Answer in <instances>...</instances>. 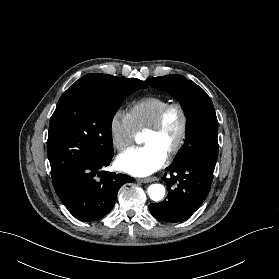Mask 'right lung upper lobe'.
I'll return each mask as SVG.
<instances>
[{
  "label": "right lung upper lobe",
  "mask_w": 279,
  "mask_h": 279,
  "mask_svg": "<svg viewBox=\"0 0 279 279\" xmlns=\"http://www.w3.org/2000/svg\"><path fill=\"white\" fill-rule=\"evenodd\" d=\"M145 87H147L146 83L144 82Z\"/></svg>",
  "instance_id": "obj_1"
}]
</instances>
